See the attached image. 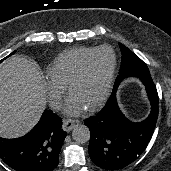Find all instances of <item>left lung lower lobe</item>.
Segmentation results:
<instances>
[{
	"label": "left lung lower lobe",
	"instance_id": "0a47b994",
	"mask_svg": "<svg viewBox=\"0 0 171 171\" xmlns=\"http://www.w3.org/2000/svg\"><path fill=\"white\" fill-rule=\"evenodd\" d=\"M144 85L151 103V112L145 120L137 123L128 120L113 95L97 115L84 121L91 132L89 155L97 166L122 169L135 161L150 142L158 118V93L153 80Z\"/></svg>",
	"mask_w": 171,
	"mask_h": 171
}]
</instances>
